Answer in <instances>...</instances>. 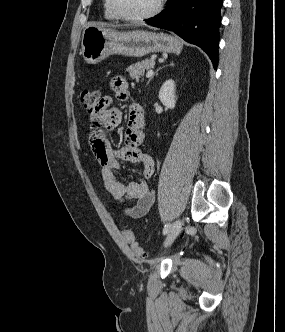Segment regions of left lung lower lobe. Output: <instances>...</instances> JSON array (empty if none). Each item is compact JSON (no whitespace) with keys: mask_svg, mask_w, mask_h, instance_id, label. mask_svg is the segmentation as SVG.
<instances>
[{"mask_svg":"<svg viewBox=\"0 0 285 332\" xmlns=\"http://www.w3.org/2000/svg\"><path fill=\"white\" fill-rule=\"evenodd\" d=\"M221 6L222 0H169L166 10L145 21L202 48L216 69Z\"/></svg>","mask_w":285,"mask_h":332,"instance_id":"0a47b994","label":"left lung lower lobe"}]
</instances>
